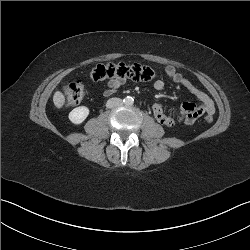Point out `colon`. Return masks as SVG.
<instances>
[{"label":"colon","mask_w":250,"mask_h":250,"mask_svg":"<svg viewBox=\"0 0 250 250\" xmlns=\"http://www.w3.org/2000/svg\"><path fill=\"white\" fill-rule=\"evenodd\" d=\"M156 72L152 67L140 64L127 65L124 63H110L106 65H97L90 72V77L94 81H103L106 79H129L133 81L147 82L154 79ZM63 95L66 105H78L87 95V91L82 82L76 81L67 83L63 86ZM205 122L211 123L213 115L206 114Z\"/></svg>","instance_id":"obj_1"}]
</instances>
